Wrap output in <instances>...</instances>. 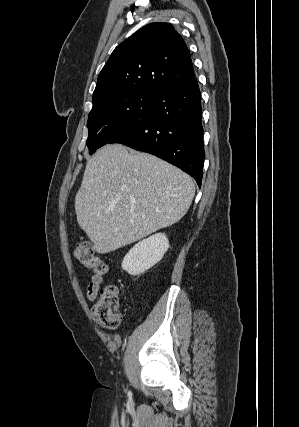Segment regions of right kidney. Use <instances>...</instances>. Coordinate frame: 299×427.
Listing matches in <instances>:
<instances>
[{
	"label": "right kidney",
	"mask_w": 299,
	"mask_h": 427,
	"mask_svg": "<svg viewBox=\"0 0 299 427\" xmlns=\"http://www.w3.org/2000/svg\"><path fill=\"white\" fill-rule=\"evenodd\" d=\"M168 248L169 241L163 233L143 239L126 254L122 261V269L130 275H140L157 264Z\"/></svg>",
	"instance_id": "1"
}]
</instances>
